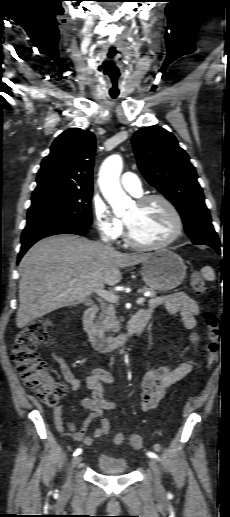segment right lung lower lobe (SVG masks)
I'll list each match as a JSON object with an SVG mask.
<instances>
[{
    "instance_id": "right-lung-lower-lobe-1",
    "label": "right lung lower lobe",
    "mask_w": 230,
    "mask_h": 517,
    "mask_svg": "<svg viewBox=\"0 0 230 517\" xmlns=\"http://www.w3.org/2000/svg\"><path fill=\"white\" fill-rule=\"evenodd\" d=\"M89 226H83L67 221H46L37 224L27 225L21 236V250L18 255V262L26 251L38 240L56 234H87Z\"/></svg>"
}]
</instances>
